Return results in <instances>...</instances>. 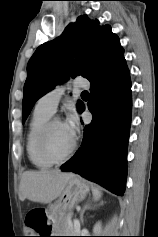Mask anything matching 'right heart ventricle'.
I'll list each match as a JSON object with an SVG mask.
<instances>
[{
	"label": "right heart ventricle",
	"mask_w": 158,
	"mask_h": 237,
	"mask_svg": "<svg viewBox=\"0 0 158 237\" xmlns=\"http://www.w3.org/2000/svg\"><path fill=\"white\" fill-rule=\"evenodd\" d=\"M52 114L35 106L27 136L26 151L30 162L39 169H47L52 163L44 159L38 151V137L43 126L50 120Z\"/></svg>",
	"instance_id": "1"
}]
</instances>
